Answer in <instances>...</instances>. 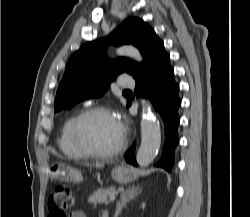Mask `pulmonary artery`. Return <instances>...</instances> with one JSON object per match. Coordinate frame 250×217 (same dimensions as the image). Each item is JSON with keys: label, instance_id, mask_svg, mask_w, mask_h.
I'll use <instances>...</instances> for the list:
<instances>
[{"label": "pulmonary artery", "instance_id": "pulmonary-artery-1", "mask_svg": "<svg viewBox=\"0 0 250 217\" xmlns=\"http://www.w3.org/2000/svg\"><path fill=\"white\" fill-rule=\"evenodd\" d=\"M119 85L123 88H132L134 87L135 83L132 79H120Z\"/></svg>", "mask_w": 250, "mask_h": 217}]
</instances>
